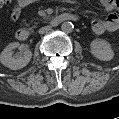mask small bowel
Wrapping results in <instances>:
<instances>
[{"instance_id": "1", "label": "small bowel", "mask_w": 119, "mask_h": 119, "mask_svg": "<svg viewBox=\"0 0 119 119\" xmlns=\"http://www.w3.org/2000/svg\"><path fill=\"white\" fill-rule=\"evenodd\" d=\"M8 3V2H7ZM29 0H18L10 12V18L17 20L24 8L29 6ZM100 5L109 13L104 19H95L91 30L95 35L115 32L119 28V1L101 0Z\"/></svg>"}]
</instances>
